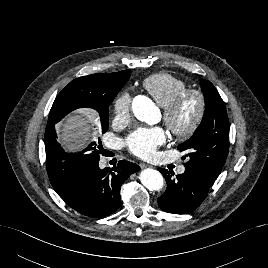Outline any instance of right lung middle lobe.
<instances>
[{"mask_svg": "<svg viewBox=\"0 0 268 268\" xmlns=\"http://www.w3.org/2000/svg\"><path fill=\"white\" fill-rule=\"evenodd\" d=\"M63 109L62 101H54L49 119L59 115ZM95 110L99 112L102 133H105L109 125L108 106ZM56 138V132L45 134L46 166L51 184L60 196L62 193L65 194L79 176L100 157L95 142L90 143L83 151L73 153L64 151Z\"/></svg>", "mask_w": 268, "mask_h": 268, "instance_id": "1", "label": "right lung middle lobe"}]
</instances>
